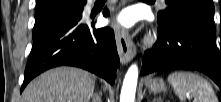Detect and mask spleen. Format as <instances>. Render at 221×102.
I'll use <instances>...</instances> for the list:
<instances>
[{"mask_svg": "<svg viewBox=\"0 0 221 102\" xmlns=\"http://www.w3.org/2000/svg\"><path fill=\"white\" fill-rule=\"evenodd\" d=\"M167 80L181 101L190 94L196 102H218L211 84L195 73L175 71Z\"/></svg>", "mask_w": 221, "mask_h": 102, "instance_id": "obj_1", "label": "spleen"}]
</instances>
